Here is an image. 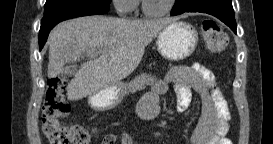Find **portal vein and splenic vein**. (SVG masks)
<instances>
[{"mask_svg":"<svg viewBox=\"0 0 273 144\" xmlns=\"http://www.w3.org/2000/svg\"><path fill=\"white\" fill-rule=\"evenodd\" d=\"M101 51H97L96 53L90 54L89 57L91 58H96L98 56V54H100Z\"/></svg>","mask_w":273,"mask_h":144,"instance_id":"portal-vein-and-splenic-vein-1","label":"portal vein and splenic vein"}]
</instances>
